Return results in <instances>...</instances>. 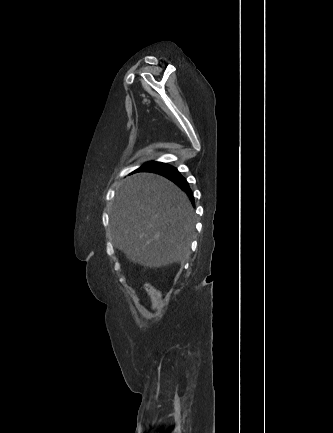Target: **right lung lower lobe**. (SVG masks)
I'll return each mask as SVG.
<instances>
[{
	"instance_id": "98d812e1",
	"label": "right lung lower lobe",
	"mask_w": 333,
	"mask_h": 433,
	"mask_svg": "<svg viewBox=\"0 0 333 433\" xmlns=\"http://www.w3.org/2000/svg\"><path fill=\"white\" fill-rule=\"evenodd\" d=\"M139 171L154 172L166 177L167 179L174 182L177 186H179L184 192H186L189 198L194 201V197L189 187V184L175 167L161 162H149L140 167L135 172Z\"/></svg>"
}]
</instances>
